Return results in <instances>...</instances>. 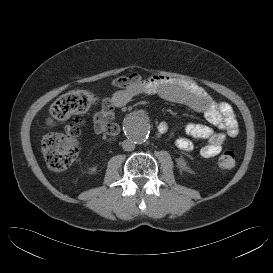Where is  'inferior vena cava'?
<instances>
[{"instance_id":"obj_1","label":"inferior vena cava","mask_w":273,"mask_h":273,"mask_svg":"<svg viewBox=\"0 0 273 273\" xmlns=\"http://www.w3.org/2000/svg\"><path fill=\"white\" fill-rule=\"evenodd\" d=\"M122 148L125 151H132L135 148V145L130 140H124L122 142Z\"/></svg>"}]
</instances>
